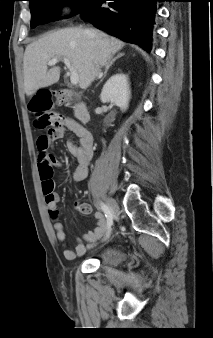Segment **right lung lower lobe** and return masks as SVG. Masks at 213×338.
Wrapping results in <instances>:
<instances>
[{"instance_id": "1", "label": "right lung lower lobe", "mask_w": 213, "mask_h": 338, "mask_svg": "<svg viewBox=\"0 0 213 338\" xmlns=\"http://www.w3.org/2000/svg\"><path fill=\"white\" fill-rule=\"evenodd\" d=\"M159 1L164 0H96L80 14L96 28L150 52Z\"/></svg>"}]
</instances>
